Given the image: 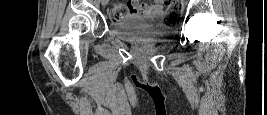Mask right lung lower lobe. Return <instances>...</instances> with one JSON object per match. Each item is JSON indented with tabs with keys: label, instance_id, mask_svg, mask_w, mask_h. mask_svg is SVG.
I'll use <instances>...</instances> for the list:
<instances>
[{
	"label": "right lung lower lobe",
	"instance_id": "1",
	"mask_svg": "<svg viewBox=\"0 0 267 115\" xmlns=\"http://www.w3.org/2000/svg\"><path fill=\"white\" fill-rule=\"evenodd\" d=\"M144 89L147 90V91H152L153 90L151 88H146V87H144Z\"/></svg>",
	"mask_w": 267,
	"mask_h": 115
}]
</instances>
